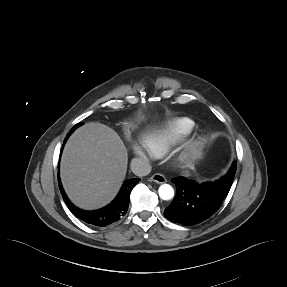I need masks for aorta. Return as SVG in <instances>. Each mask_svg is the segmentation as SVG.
<instances>
[{
    "mask_svg": "<svg viewBox=\"0 0 287 287\" xmlns=\"http://www.w3.org/2000/svg\"><path fill=\"white\" fill-rule=\"evenodd\" d=\"M158 193L161 199L170 200L174 196V189L169 184H162L158 189Z\"/></svg>",
    "mask_w": 287,
    "mask_h": 287,
    "instance_id": "aorta-1",
    "label": "aorta"
}]
</instances>
